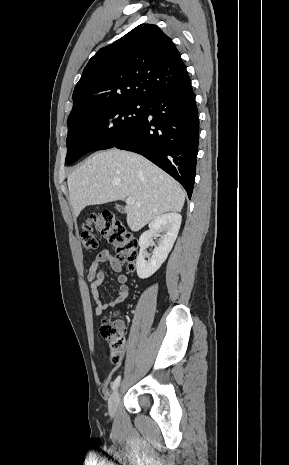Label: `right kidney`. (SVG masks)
<instances>
[{
	"mask_svg": "<svg viewBox=\"0 0 289 465\" xmlns=\"http://www.w3.org/2000/svg\"><path fill=\"white\" fill-rule=\"evenodd\" d=\"M181 220L182 217L180 214L167 213L158 215L149 223V230L144 232L139 238L140 251L136 260V270L139 278L145 279L150 277L164 263L177 238ZM160 231L163 232L160 235V242L149 258L145 250L150 245V239L158 235Z\"/></svg>",
	"mask_w": 289,
	"mask_h": 465,
	"instance_id": "ca27d5eb",
	"label": "right kidney"
}]
</instances>
